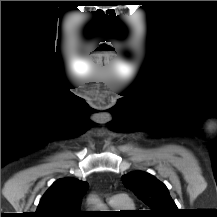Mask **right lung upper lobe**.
Wrapping results in <instances>:
<instances>
[{
    "mask_svg": "<svg viewBox=\"0 0 217 217\" xmlns=\"http://www.w3.org/2000/svg\"><path fill=\"white\" fill-rule=\"evenodd\" d=\"M88 189V183L75 178L55 181L42 196L33 217H83L80 211L81 199Z\"/></svg>",
    "mask_w": 217,
    "mask_h": 217,
    "instance_id": "right-lung-upper-lobe-1",
    "label": "right lung upper lobe"
}]
</instances>
